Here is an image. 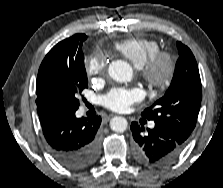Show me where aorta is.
I'll return each mask as SVG.
<instances>
[{
    "label": "aorta",
    "mask_w": 223,
    "mask_h": 188,
    "mask_svg": "<svg viewBox=\"0 0 223 188\" xmlns=\"http://www.w3.org/2000/svg\"><path fill=\"white\" fill-rule=\"evenodd\" d=\"M108 71L110 77L117 82L129 81L133 74L131 66L122 60L112 62ZM127 126V120L121 116H116L110 121V128L115 132H124Z\"/></svg>",
    "instance_id": "1"
}]
</instances>
